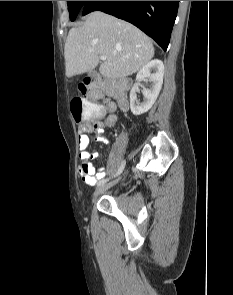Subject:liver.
<instances>
[{
	"instance_id": "1",
	"label": "liver",
	"mask_w": 233,
	"mask_h": 295,
	"mask_svg": "<svg viewBox=\"0 0 233 295\" xmlns=\"http://www.w3.org/2000/svg\"><path fill=\"white\" fill-rule=\"evenodd\" d=\"M100 55L107 57L100 65V74L119 79L147 64L154 56V47L150 38L134 25L95 11L87 15L81 27L68 33L64 48L66 76L95 69Z\"/></svg>"
}]
</instances>
